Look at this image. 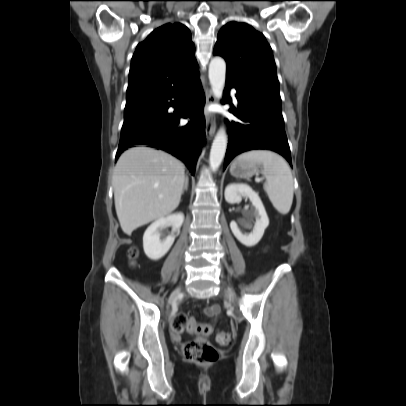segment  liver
<instances>
[{"mask_svg": "<svg viewBox=\"0 0 406 406\" xmlns=\"http://www.w3.org/2000/svg\"><path fill=\"white\" fill-rule=\"evenodd\" d=\"M185 166L170 154L140 146L125 151L113 175L118 220L127 235L164 218L179 205Z\"/></svg>", "mask_w": 406, "mask_h": 406, "instance_id": "1", "label": "liver"}]
</instances>
